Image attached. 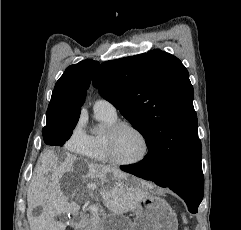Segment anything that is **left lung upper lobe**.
Instances as JSON below:
<instances>
[{"instance_id":"5c2ea615","label":"left lung upper lobe","mask_w":241,"mask_h":230,"mask_svg":"<svg viewBox=\"0 0 241 230\" xmlns=\"http://www.w3.org/2000/svg\"><path fill=\"white\" fill-rule=\"evenodd\" d=\"M93 85L143 135L148 150L163 148L172 182L201 159L193 87L178 58L153 50L106 61L95 72Z\"/></svg>"}]
</instances>
